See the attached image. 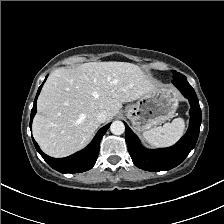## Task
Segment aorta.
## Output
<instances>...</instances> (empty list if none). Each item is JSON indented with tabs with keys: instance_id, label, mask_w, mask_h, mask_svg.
Wrapping results in <instances>:
<instances>
[{
	"instance_id": "762f6f07",
	"label": "aorta",
	"mask_w": 224,
	"mask_h": 224,
	"mask_svg": "<svg viewBox=\"0 0 224 224\" xmlns=\"http://www.w3.org/2000/svg\"><path fill=\"white\" fill-rule=\"evenodd\" d=\"M110 131L114 135H121V134H123L124 131H125L124 123L122 121H118V120L112 122V124L110 126Z\"/></svg>"
}]
</instances>
